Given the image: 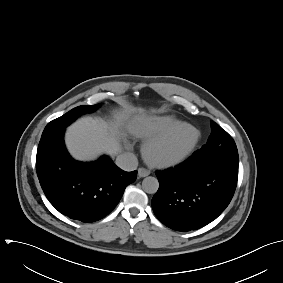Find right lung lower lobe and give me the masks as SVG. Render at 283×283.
<instances>
[{"instance_id":"obj_1","label":"right lung lower lobe","mask_w":283,"mask_h":283,"mask_svg":"<svg viewBox=\"0 0 283 283\" xmlns=\"http://www.w3.org/2000/svg\"><path fill=\"white\" fill-rule=\"evenodd\" d=\"M64 131L41 137L36 157L41 187L60 213L82 222L100 220L116 207L137 171L125 172L108 157L91 163L75 161L66 151Z\"/></svg>"}]
</instances>
